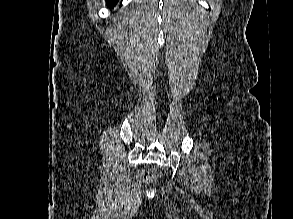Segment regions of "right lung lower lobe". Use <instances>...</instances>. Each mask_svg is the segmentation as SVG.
Returning <instances> with one entry per match:
<instances>
[{"label":"right lung lower lobe","instance_id":"obj_1","mask_svg":"<svg viewBox=\"0 0 293 219\" xmlns=\"http://www.w3.org/2000/svg\"><path fill=\"white\" fill-rule=\"evenodd\" d=\"M118 2V0H107V6L111 7L114 6Z\"/></svg>","mask_w":293,"mask_h":219}]
</instances>
